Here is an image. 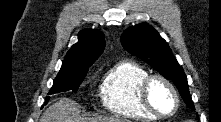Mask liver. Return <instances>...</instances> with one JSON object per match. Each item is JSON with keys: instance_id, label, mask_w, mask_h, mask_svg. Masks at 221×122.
Segmentation results:
<instances>
[{"instance_id": "1", "label": "liver", "mask_w": 221, "mask_h": 122, "mask_svg": "<svg viewBox=\"0 0 221 122\" xmlns=\"http://www.w3.org/2000/svg\"><path fill=\"white\" fill-rule=\"evenodd\" d=\"M80 112L79 105L75 101L61 98L44 111L39 122H130L119 117L86 119L80 116Z\"/></svg>"}]
</instances>
